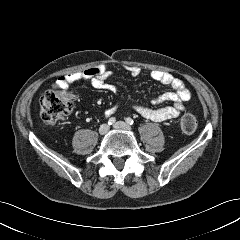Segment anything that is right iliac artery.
<instances>
[{
    "mask_svg": "<svg viewBox=\"0 0 240 240\" xmlns=\"http://www.w3.org/2000/svg\"><path fill=\"white\" fill-rule=\"evenodd\" d=\"M115 118L114 117H111L109 120H108V124L109 125H113L115 123Z\"/></svg>",
    "mask_w": 240,
    "mask_h": 240,
    "instance_id": "82829eb1",
    "label": "right iliac artery"
}]
</instances>
